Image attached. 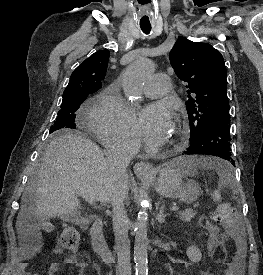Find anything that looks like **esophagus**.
<instances>
[{"label": "esophagus", "instance_id": "obj_1", "mask_svg": "<svg viewBox=\"0 0 263 275\" xmlns=\"http://www.w3.org/2000/svg\"><path fill=\"white\" fill-rule=\"evenodd\" d=\"M153 171V166L149 162H137L134 165V172L138 177H145Z\"/></svg>", "mask_w": 263, "mask_h": 275}]
</instances>
